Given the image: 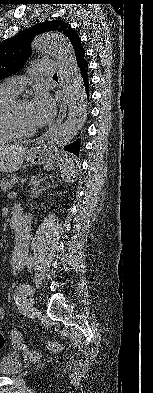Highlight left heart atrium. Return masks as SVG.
Returning a JSON list of instances; mask_svg holds the SVG:
<instances>
[{"label":"left heart atrium","mask_w":153,"mask_h":393,"mask_svg":"<svg viewBox=\"0 0 153 393\" xmlns=\"http://www.w3.org/2000/svg\"><path fill=\"white\" fill-rule=\"evenodd\" d=\"M55 115V103L45 91H37L30 104L31 122L36 127L46 125Z\"/></svg>","instance_id":"39dd6f15"}]
</instances>
